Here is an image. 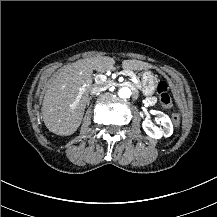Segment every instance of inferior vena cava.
<instances>
[{
	"instance_id": "602c4592",
	"label": "inferior vena cava",
	"mask_w": 217,
	"mask_h": 217,
	"mask_svg": "<svg viewBox=\"0 0 217 217\" xmlns=\"http://www.w3.org/2000/svg\"><path fill=\"white\" fill-rule=\"evenodd\" d=\"M102 90H106V86H100V85L95 84L91 88L90 92H91L92 95H94L95 93H98L99 91H102Z\"/></svg>"
}]
</instances>
